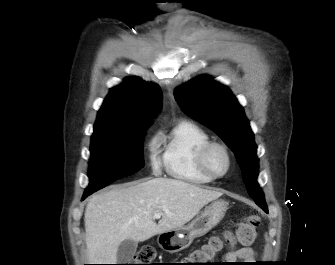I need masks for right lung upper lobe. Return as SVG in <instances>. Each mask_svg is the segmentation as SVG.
<instances>
[{
    "instance_id": "obj_1",
    "label": "right lung upper lobe",
    "mask_w": 335,
    "mask_h": 265,
    "mask_svg": "<svg viewBox=\"0 0 335 265\" xmlns=\"http://www.w3.org/2000/svg\"><path fill=\"white\" fill-rule=\"evenodd\" d=\"M161 105L162 91L158 85L129 77L110 90L98 112L94 133L149 125Z\"/></svg>"
}]
</instances>
